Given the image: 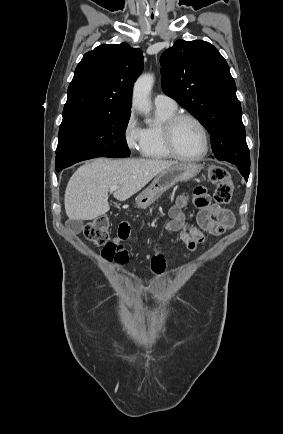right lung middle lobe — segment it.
Returning a JSON list of instances; mask_svg holds the SVG:
<instances>
[{
  "label": "right lung middle lobe",
  "instance_id": "dd1d6c3e",
  "mask_svg": "<svg viewBox=\"0 0 283 434\" xmlns=\"http://www.w3.org/2000/svg\"><path fill=\"white\" fill-rule=\"evenodd\" d=\"M131 112L63 118L56 149V170L96 158L129 156L125 138Z\"/></svg>",
  "mask_w": 283,
  "mask_h": 434
}]
</instances>
